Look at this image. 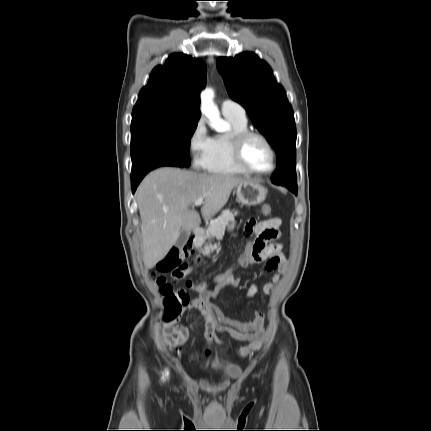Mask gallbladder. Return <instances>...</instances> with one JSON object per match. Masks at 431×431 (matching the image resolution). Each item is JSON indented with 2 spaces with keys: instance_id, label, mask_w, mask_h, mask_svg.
Masks as SVG:
<instances>
[{
  "instance_id": "bac80fb5",
  "label": "gallbladder",
  "mask_w": 431,
  "mask_h": 431,
  "mask_svg": "<svg viewBox=\"0 0 431 431\" xmlns=\"http://www.w3.org/2000/svg\"><path fill=\"white\" fill-rule=\"evenodd\" d=\"M188 238H189V232L186 230H182L180 235H179V238L177 239V241L175 243V245L178 248H182L186 244V242L188 241Z\"/></svg>"
}]
</instances>
